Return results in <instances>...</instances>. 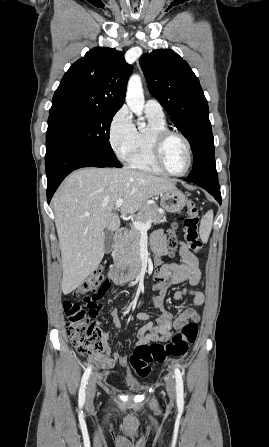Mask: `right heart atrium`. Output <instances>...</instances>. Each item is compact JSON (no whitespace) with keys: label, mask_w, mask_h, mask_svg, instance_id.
I'll return each mask as SVG.
<instances>
[{"label":"right heart atrium","mask_w":269,"mask_h":447,"mask_svg":"<svg viewBox=\"0 0 269 447\" xmlns=\"http://www.w3.org/2000/svg\"><path fill=\"white\" fill-rule=\"evenodd\" d=\"M136 128L128 107L119 108L110 120L108 142L119 159L125 160L133 148Z\"/></svg>","instance_id":"1"}]
</instances>
